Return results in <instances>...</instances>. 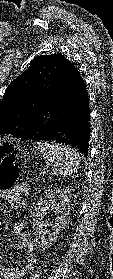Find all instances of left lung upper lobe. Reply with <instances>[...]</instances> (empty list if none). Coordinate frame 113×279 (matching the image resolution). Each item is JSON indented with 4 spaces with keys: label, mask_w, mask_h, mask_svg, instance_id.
Returning a JSON list of instances; mask_svg holds the SVG:
<instances>
[{
    "label": "left lung upper lobe",
    "mask_w": 113,
    "mask_h": 279,
    "mask_svg": "<svg viewBox=\"0 0 113 279\" xmlns=\"http://www.w3.org/2000/svg\"><path fill=\"white\" fill-rule=\"evenodd\" d=\"M68 63L69 60L60 53L40 55L31 61L29 68L11 82L0 102V133L20 137L38 102L64 72Z\"/></svg>",
    "instance_id": "obj_1"
}]
</instances>
